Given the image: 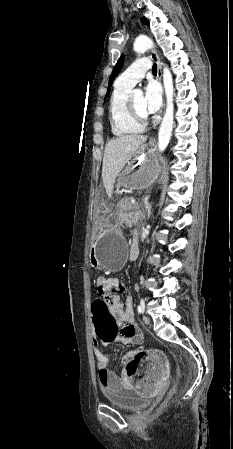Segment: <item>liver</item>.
I'll return each instance as SVG.
<instances>
[{
  "label": "liver",
  "mask_w": 233,
  "mask_h": 449,
  "mask_svg": "<svg viewBox=\"0 0 233 449\" xmlns=\"http://www.w3.org/2000/svg\"><path fill=\"white\" fill-rule=\"evenodd\" d=\"M146 140L147 136L144 135H121L106 144L102 165V180L109 198L113 194L114 184L121 170Z\"/></svg>",
  "instance_id": "1"
}]
</instances>
